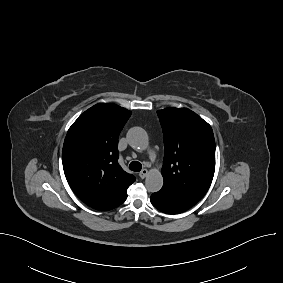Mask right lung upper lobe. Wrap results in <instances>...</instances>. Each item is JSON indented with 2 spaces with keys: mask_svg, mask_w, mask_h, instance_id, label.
I'll list each match as a JSON object with an SVG mask.
<instances>
[{
  "mask_svg": "<svg viewBox=\"0 0 283 283\" xmlns=\"http://www.w3.org/2000/svg\"><path fill=\"white\" fill-rule=\"evenodd\" d=\"M131 111L99 103L82 113L69 128L62 150L66 179L88 206L108 211L127 198L136 180L118 163V137Z\"/></svg>",
  "mask_w": 283,
  "mask_h": 283,
  "instance_id": "right-lung-upper-lobe-1",
  "label": "right lung upper lobe"
}]
</instances>
